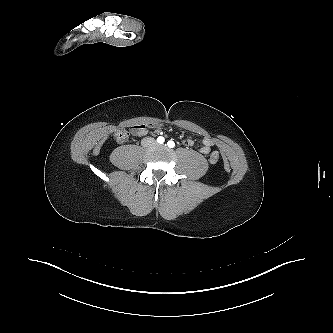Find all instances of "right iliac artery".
<instances>
[{"instance_id":"1","label":"right iliac artery","mask_w":333,"mask_h":333,"mask_svg":"<svg viewBox=\"0 0 333 333\" xmlns=\"http://www.w3.org/2000/svg\"><path fill=\"white\" fill-rule=\"evenodd\" d=\"M164 141H165V139H164V137H162V136H160V137L157 138V142H158L159 144L164 143Z\"/></svg>"}]
</instances>
